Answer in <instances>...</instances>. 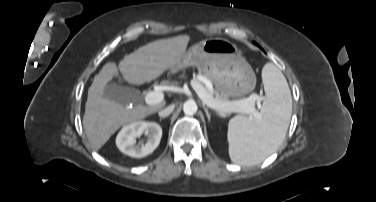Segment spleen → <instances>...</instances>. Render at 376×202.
I'll return each mask as SVG.
<instances>
[{
	"label": "spleen",
	"instance_id": "3e777b00",
	"mask_svg": "<svg viewBox=\"0 0 376 202\" xmlns=\"http://www.w3.org/2000/svg\"><path fill=\"white\" fill-rule=\"evenodd\" d=\"M266 100L259 117L239 115L228 124L229 155L239 165L258 164L283 142L292 113V98L283 73L273 64L262 69Z\"/></svg>",
	"mask_w": 376,
	"mask_h": 202
}]
</instances>
